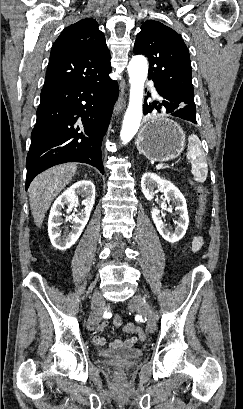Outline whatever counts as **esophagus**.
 Here are the masks:
<instances>
[{
	"label": "esophagus",
	"instance_id": "obj_1",
	"mask_svg": "<svg viewBox=\"0 0 243 409\" xmlns=\"http://www.w3.org/2000/svg\"><path fill=\"white\" fill-rule=\"evenodd\" d=\"M125 107V99L124 98H119L115 108H114V114L117 115L123 108Z\"/></svg>",
	"mask_w": 243,
	"mask_h": 409
}]
</instances>
